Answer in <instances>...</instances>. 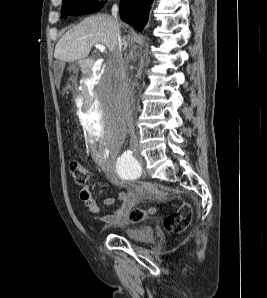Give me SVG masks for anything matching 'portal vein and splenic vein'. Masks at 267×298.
Instances as JSON below:
<instances>
[{
	"label": "portal vein and splenic vein",
	"mask_w": 267,
	"mask_h": 298,
	"mask_svg": "<svg viewBox=\"0 0 267 298\" xmlns=\"http://www.w3.org/2000/svg\"><path fill=\"white\" fill-rule=\"evenodd\" d=\"M96 49H98L100 52H105L106 48L102 44H95Z\"/></svg>",
	"instance_id": "portal-vein-and-splenic-vein-1"
}]
</instances>
